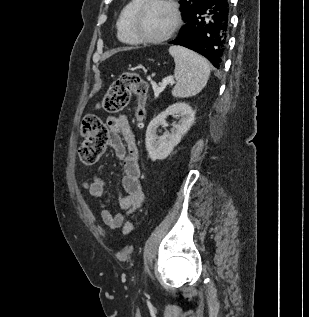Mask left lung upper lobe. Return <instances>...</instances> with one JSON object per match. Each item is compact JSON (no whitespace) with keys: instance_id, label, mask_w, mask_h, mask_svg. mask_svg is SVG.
<instances>
[{"instance_id":"1","label":"left lung upper lobe","mask_w":309,"mask_h":317,"mask_svg":"<svg viewBox=\"0 0 309 317\" xmlns=\"http://www.w3.org/2000/svg\"><path fill=\"white\" fill-rule=\"evenodd\" d=\"M204 0H180L181 12L183 18L197 8Z\"/></svg>"}]
</instances>
